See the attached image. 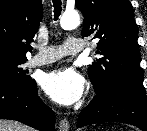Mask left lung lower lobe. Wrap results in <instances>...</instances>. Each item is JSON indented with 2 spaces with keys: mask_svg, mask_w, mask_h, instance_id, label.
Returning a JSON list of instances; mask_svg holds the SVG:
<instances>
[{
  "mask_svg": "<svg viewBox=\"0 0 147 131\" xmlns=\"http://www.w3.org/2000/svg\"><path fill=\"white\" fill-rule=\"evenodd\" d=\"M96 94L90 104L81 111L78 127L102 122H121L147 131L145 92L121 88L107 95Z\"/></svg>",
  "mask_w": 147,
  "mask_h": 131,
  "instance_id": "obj_1",
  "label": "left lung lower lobe"
}]
</instances>
